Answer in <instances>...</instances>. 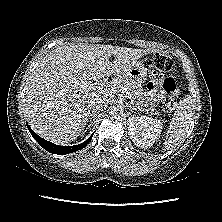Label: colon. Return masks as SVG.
<instances>
[{"label":"colon","mask_w":222,"mask_h":222,"mask_svg":"<svg viewBox=\"0 0 222 222\" xmlns=\"http://www.w3.org/2000/svg\"><path fill=\"white\" fill-rule=\"evenodd\" d=\"M152 67L158 72H171L175 65L172 59L163 53H156L152 58ZM162 89L168 95L167 108L173 112L176 109L178 87L172 77H167L162 82Z\"/></svg>","instance_id":"5ec220e1"}]
</instances>
